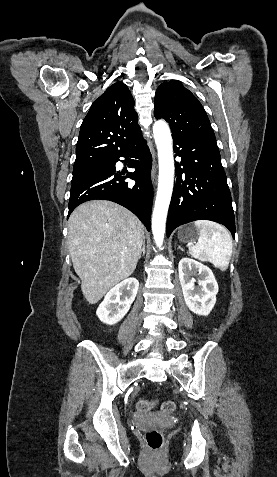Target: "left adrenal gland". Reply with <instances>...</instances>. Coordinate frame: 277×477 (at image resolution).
<instances>
[{"label": "left adrenal gland", "mask_w": 277, "mask_h": 477, "mask_svg": "<svg viewBox=\"0 0 277 477\" xmlns=\"http://www.w3.org/2000/svg\"><path fill=\"white\" fill-rule=\"evenodd\" d=\"M178 249L181 250V251H184L183 248H181V246H178Z\"/></svg>", "instance_id": "left-adrenal-gland-1"}]
</instances>
